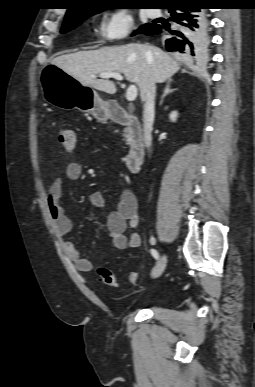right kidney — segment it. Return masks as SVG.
Instances as JSON below:
<instances>
[{"label":"right kidney","mask_w":255,"mask_h":387,"mask_svg":"<svg viewBox=\"0 0 255 387\" xmlns=\"http://www.w3.org/2000/svg\"><path fill=\"white\" fill-rule=\"evenodd\" d=\"M177 116H178L177 111H172V112L170 113V115H169V118H170V120H171L172 122H175L176 119H177Z\"/></svg>","instance_id":"right-kidney-1"}]
</instances>
